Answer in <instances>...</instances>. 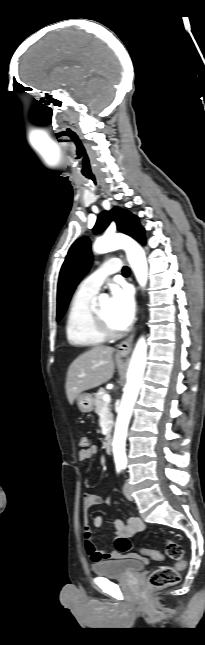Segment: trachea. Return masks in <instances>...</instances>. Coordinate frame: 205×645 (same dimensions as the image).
<instances>
[{
	"mask_svg": "<svg viewBox=\"0 0 205 645\" xmlns=\"http://www.w3.org/2000/svg\"><path fill=\"white\" fill-rule=\"evenodd\" d=\"M123 275H129L130 274V269L127 266L123 267L122 270Z\"/></svg>",
	"mask_w": 205,
	"mask_h": 645,
	"instance_id": "obj_1",
	"label": "trachea"
}]
</instances>
